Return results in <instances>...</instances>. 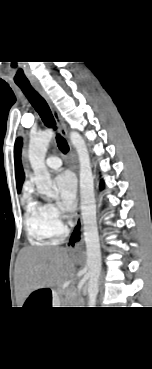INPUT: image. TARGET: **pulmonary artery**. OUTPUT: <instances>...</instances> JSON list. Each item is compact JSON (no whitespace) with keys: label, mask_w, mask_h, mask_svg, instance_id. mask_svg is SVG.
<instances>
[{"label":"pulmonary artery","mask_w":152,"mask_h":369,"mask_svg":"<svg viewBox=\"0 0 152 369\" xmlns=\"http://www.w3.org/2000/svg\"><path fill=\"white\" fill-rule=\"evenodd\" d=\"M45 163L46 166L51 170H58L62 165L60 158L57 156L48 157Z\"/></svg>","instance_id":"1"}]
</instances>
